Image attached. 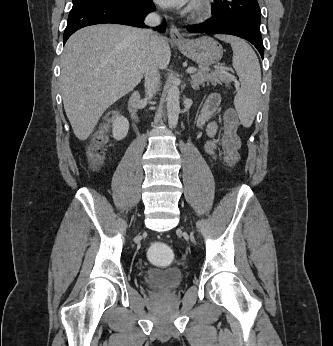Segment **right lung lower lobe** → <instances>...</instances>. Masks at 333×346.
Masks as SVG:
<instances>
[{
	"label": "right lung lower lobe",
	"mask_w": 333,
	"mask_h": 346,
	"mask_svg": "<svg viewBox=\"0 0 333 346\" xmlns=\"http://www.w3.org/2000/svg\"><path fill=\"white\" fill-rule=\"evenodd\" d=\"M155 10L152 0H132L122 5L116 2H95L76 7L70 11L67 27L63 35V43L77 30L85 26L115 23L135 27H147L143 18ZM155 29L165 30V26Z\"/></svg>",
	"instance_id": "right-lung-lower-lobe-1"
}]
</instances>
